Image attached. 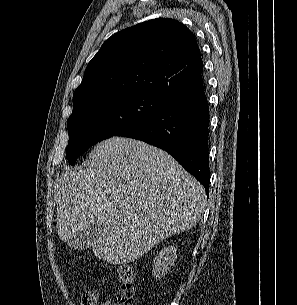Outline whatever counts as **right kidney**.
<instances>
[{"mask_svg":"<svg viewBox=\"0 0 297 305\" xmlns=\"http://www.w3.org/2000/svg\"><path fill=\"white\" fill-rule=\"evenodd\" d=\"M176 259L177 255L175 247L170 246L162 249L153 260L152 275L156 277V279H161L168 271H170Z\"/></svg>","mask_w":297,"mask_h":305,"instance_id":"right-kidney-1","label":"right kidney"}]
</instances>
